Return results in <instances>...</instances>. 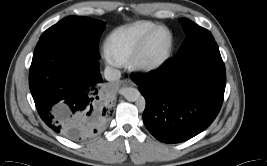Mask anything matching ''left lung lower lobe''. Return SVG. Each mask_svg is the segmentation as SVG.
<instances>
[{"label":"left lung lower lobe","mask_w":267,"mask_h":166,"mask_svg":"<svg viewBox=\"0 0 267 166\" xmlns=\"http://www.w3.org/2000/svg\"><path fill=\"white\" fill-rule=\"evenodd\" d=\"M146 100L143 121L165 143L184 142L204 131L223 103L226 72L215 41L169 59L148 77L132 75Z\"/></svg>","instance_id":"1"}]
</instances>
